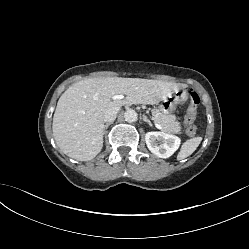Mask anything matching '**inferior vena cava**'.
I'll return each mask as SVG.
<instances>
[{
	"label": "inferior vena cava",
	"instance_id": "inferior-vena-cava-1",
	"mask_svg": "<svg viewBox=\"0 0 249 249\" xmlns=\"http://www.w3.org/2000/svg\"><path fill=\"white\" fill-rule=\"evenodd\" d=\"M119 108H111L105 112L104 121L113 122L116 119Z\"/></svg>",
	"mask_w": 249,
	"mask_h": 249
}]
</instances>
